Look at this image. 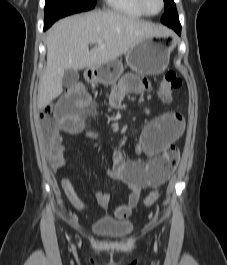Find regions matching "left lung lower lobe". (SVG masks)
<instances>
[{
  "label": "left lung lower lobe",
  "mask_w": 227,
  "mask_h": 265,
  "mask_svg": "<svg viewBox=\"0 0 227 265\" xmlns=\"http://www.w3.org/2000/svg\"><path fill=\"white\" fill-rule=\"evenodd\" d=\"M171 28L174 29L179 35L181 34V25L171 24Z\"/></svg>",
  "instance_id": "obj_1"
}]
</instances>
